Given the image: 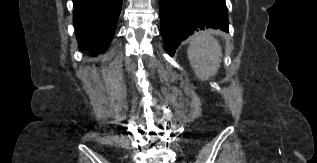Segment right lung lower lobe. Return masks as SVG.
I'll list each match as a JSON object with an SVG mask.
<instances>
[{
	"label": "right lung lower lobe",
	"instance_id": "obj_1",
	"mask_svg": "<svg viewBox=\"0 0 317 163\" xmlns=\"http://www.w3.org/2000/svg\"><path fill=\"white\" fill-rule=\"evenodd\" d=\"M73 22L82 50L98 55L114 36L122 0H73Z\"/></svg>",
	"mask_w": 317,
	"mask_h": 163
}]
</instances>
